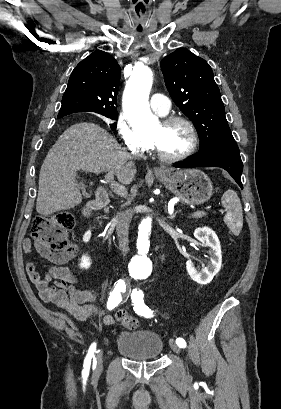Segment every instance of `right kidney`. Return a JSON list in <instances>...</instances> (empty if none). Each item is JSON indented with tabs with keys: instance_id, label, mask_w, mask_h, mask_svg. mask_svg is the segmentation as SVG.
I'll return each instance as SVG.
<instances>
[{
	"instance_id": "ca27d5eb",
	"label": "right kidney",
	"mask_w": 281,
	"mask_h": 409,
	"mask_svg": "<svg viewBox=\"0 0 281 409\" xmlns=\"http://www.w3.org/2000/svg\"><path fill=\"white\" fill-rule=\"evenodd\" d=\"M90 237H91V231H86V233H84L83 235L84 243H88V241H90ZM80 261H81L80 263L81 269H89L90 265H92L91 259L90 257H87V255H83Z\"/></svg>"
}]
</instances>
